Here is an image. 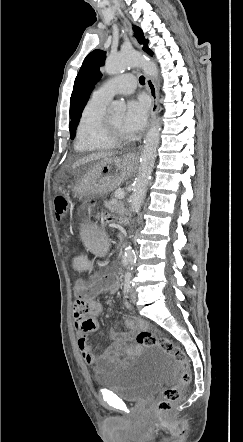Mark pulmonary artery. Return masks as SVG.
Returning <instances> with one entry per match:
<instances>
[{
	"label": "pulmonary artery",
	"mask_w": 243,
	"mask_h": 442,
	"mask_svg": "<svg viewBox=\"0 0 243 442\" xmlns=\"http://www.w3.org/2000/svg\"><path fill=\"white\" fill-rule=\"evenodd\" d=\"M136 80L132 74L126 73L112 78L102 84L93 93L97 100L108 102L117 94H129L135 89Z\"/></svg>",
	"instance_id": "pulmonary-artery-1"
}]
</instances>
